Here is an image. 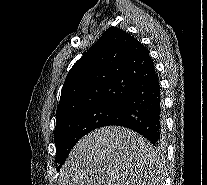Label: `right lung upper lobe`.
Segmentation results:
<instances>
[{"label":"right lung upper lobe","instance_id":"obj_1","mask_svg":"<svg viewBox=\"0 0 207 185\" xmlns=\"http://www.w3.org/2000/svg\"><path fill=\"white\" fill-rule=\"evenodd\" d=\"M156 77L148 50L122 29L108 28L69 71L56 121L103 104L122 105Z\"/></svg>","mask_w":207,"mask_h":185}]
</instances>
